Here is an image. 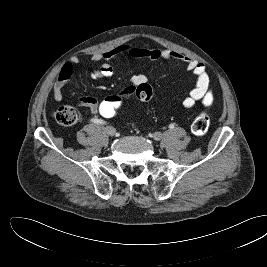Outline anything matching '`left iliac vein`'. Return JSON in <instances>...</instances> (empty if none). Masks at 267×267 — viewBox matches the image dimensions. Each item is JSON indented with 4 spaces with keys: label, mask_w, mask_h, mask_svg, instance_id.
Returning a JSON list of instances; mask_svg holds the SVG:
<instances>
[{
    "label": "left iliac vein",
    "mask_w": 267,
    "mask_h": 267,
    "mask_svg": "<svg viewBox=\"0 0 267 267\" xmlns=\"http://www.w3.org/2000/svg\"><path fill=\"white\" fill-rule=\"evenodd\" d=\"M153 139L156 141H160L163 138V134L160 132H155L152 135Z\"/></svg>",
    "instance_id": "4c4485c4"
}]
</instances>
